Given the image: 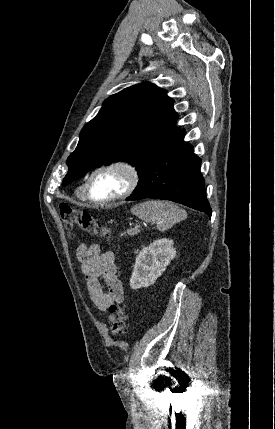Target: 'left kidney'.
I'll return each mask as SVG.
<instances>
[{
	"instance_id": "1",
	"label": "left kidney",
	"mask_w": 275,
	"mask_h": 429,
	"mask_svg": "<svg viewBox=\"0 0 275 429\" xmlns=\"http://www.w3.org/2000/svg\"><path fill=\"white\" fill-rule=\"evenodd\" d=\"M175 257L173 240L166 238L155 240L143 248L136 257L130 279L131 288L136 290L154 284Z\"/></svg>"
}]
</instances>
